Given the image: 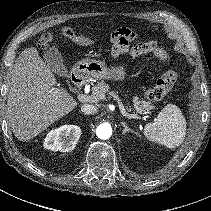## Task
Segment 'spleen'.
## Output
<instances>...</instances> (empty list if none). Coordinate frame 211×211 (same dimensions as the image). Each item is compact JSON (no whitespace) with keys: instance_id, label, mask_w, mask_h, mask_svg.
Returning <instances> with one entry per match:
<instances>
[{"instance_id":"3e777b00","label":"spleen","mask_w":211,"mask_h":211,"mask_svg":"<svg viewBox=\"0 0 211 211\" xmlns=\"http://www.w3.org/2000/svg\"><path fill=\"white\" fill-rule=\"evenodd\" d=\"M186 134V120L174 104L166 105L158 114L156 122L144 127V136L151 142L176 148L182 144Z\"/></svg>"}]
</instances>
